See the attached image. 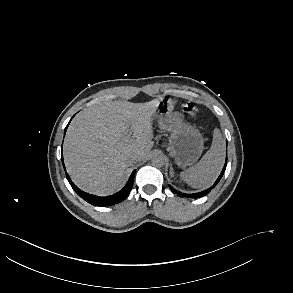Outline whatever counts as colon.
I'll use <instances>...</instances> for the list:
<instances>
[{"label": "colon", "mask_w": 293, "mask_h": 293, "mask_svg": "<svg viewBox=\"0 0 293 293\" xmlns=\"http://www.w3.org/2000/svg\"><path fill=\"white\" fill-rule=\"evenodd\" d=\"M183 110L186 112V113H194L195 112V107L192 105V104H184L183 105Z\"/></svg>", "instance_id": "5ec220e1"}]
</instances>
